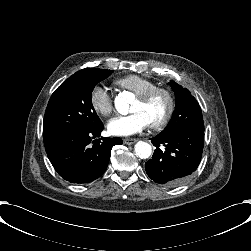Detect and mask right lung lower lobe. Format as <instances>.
<instances>
[{
	"label": "right lung lower lobe",
	"instance_id": "1",
	"mask_svg": "<svg viewBox=\"0 0 251 251\" xmlns=\"http://www.w3.org/2000/svg\"><path fill=\"white\" fill-rule=\"evenodd\" d=\"M103 125L94 130L71 129L44 139L48 158L66 181L85 184L99 178L107 169L111 148L120 138L99 137Z\"/></svg>",
	"mask_w": 251,
	"mask_h": 251
}]
</instances>
